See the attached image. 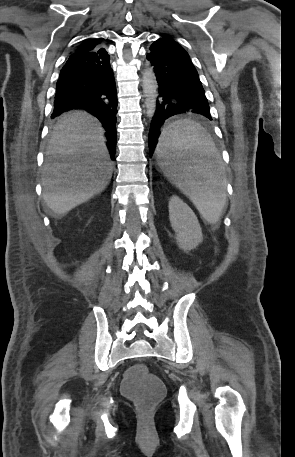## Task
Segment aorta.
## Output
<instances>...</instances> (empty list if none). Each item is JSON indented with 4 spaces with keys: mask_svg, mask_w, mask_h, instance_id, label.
Masks as SVG:
<instances>
[{
    "mask_svg": "<svg viewBox=\"0 0 295 457\" xmlns=\"http://www.w3.org/2000/svg\"><path fill=\"white\" fill-rule=\"evenodd\" d=\"M142 88L145 97L146 115L149 119H152L156 111L158 85L154 69L149 64L146 65L142 72Z\"/></svg>",
    "mask_w": 295,
    "mask_h": 457,
    "instance_id": "762f6f07",
    "label": "aorta"
}]
</instances>
